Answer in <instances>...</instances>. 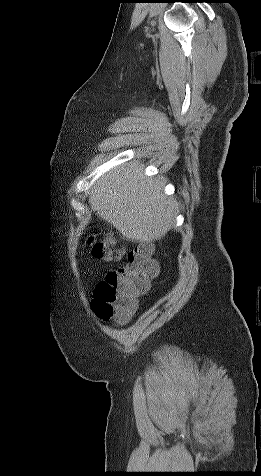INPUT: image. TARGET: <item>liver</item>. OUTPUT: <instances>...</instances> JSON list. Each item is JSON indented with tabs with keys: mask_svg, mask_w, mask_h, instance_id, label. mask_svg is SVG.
<instances>
[{
	"mask_svg": "<svg viewBox=\"0 0 261 476\" xmlns=\"http://www.w3.org/2000/svg\"><path fill=\"white\" fill-rule=\"evenodd\" d=\"M143 166L130 162L102 176L92 187L89 204L126 240H160L172 228L175 202L162 194L164 181L145 178Z\"/></svg>",
	"mask_w": 261,
	"mask_h": 476,
	"instance_id": "obj_1",
	"label": "liver"
}]
</instances>
